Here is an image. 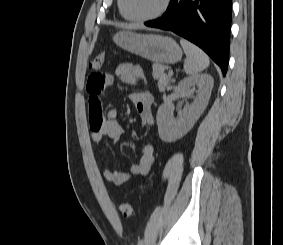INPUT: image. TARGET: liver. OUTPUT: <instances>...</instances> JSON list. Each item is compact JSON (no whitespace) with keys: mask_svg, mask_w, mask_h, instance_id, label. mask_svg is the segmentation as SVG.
Listing matches in <instances>:
<instances>
[{"mask_svg":"<svg viewBox=\"0 0 283 245\" xmlns=\"http://www.w3.org/2000/svg\"><path fill=\"white\" fill-rule=\"evenodd\" d=\"M123 27L128 28V29L133 28V26H132V25H129V26H123Z\"/></svg>","mask_w":283,"mask_h":245,"instance_id":"1","label":"liver"}]
</instances>
